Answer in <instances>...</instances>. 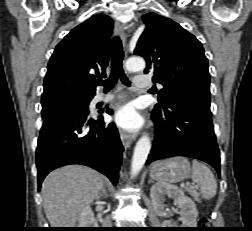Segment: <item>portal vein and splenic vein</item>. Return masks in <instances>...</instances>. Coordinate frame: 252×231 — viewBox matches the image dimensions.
<instances>
[{
  "instance_id": "portal-vein-and-splenic-vein-1",
  "label": "portal vein and splenic vein",
  "mask_w": 252,
  "mask_h": 231,
  "mask_svg": "<svg viewBox=\"0 0 252 231\" xmlns=\"http://www.w3.org/2000/svg\"><path fill=\"white\" fill-rule=\"evenodd\" d=\"M185 189H189V184H186V186H184ZM191 188H198V185H192Z\"/></svg>"
}]
</instances>
